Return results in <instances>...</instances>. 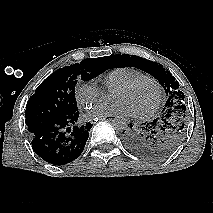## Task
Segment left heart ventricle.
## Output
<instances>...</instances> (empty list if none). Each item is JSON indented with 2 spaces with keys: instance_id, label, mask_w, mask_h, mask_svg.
<instances>
[{
  "instance_id": "b2bd125f",
  "label": "left heart ventricle",
  "mask_w": 213,
  "mask_h": 213,
  "mask_svg": "<svg viewBox=\"0 0 213 213\" xmlns=\"http://www.w3.org/2000/svg\"><path fill=\"white\" fill-rule=\"evenodd\" d=\"M157 89L151 82H144L129 90H115L112 99L126 103L132 113H141L150 109L156 101Z\"/></svg>"
}]
</instances>
